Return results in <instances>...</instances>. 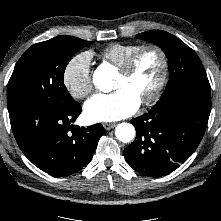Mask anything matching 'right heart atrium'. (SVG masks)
Here are the masks:
<instances>
[{
    "mask_svg": "<svg viewBox=\"0 0 221 221\" xmlns=\"http://www.w3.org/2000/svg\"><path fill=\"white\" fill-rule=\"evenodd\" d=\"M63 82L75 99H83L93 89L91 75V54L83 52L75 55L65 67Z\"/></svg>",
    "mask_w": 221,
    "mask_h": 221,
    "instance_id": "1",
    "label": "right heart atrium"
}]
</instances>
